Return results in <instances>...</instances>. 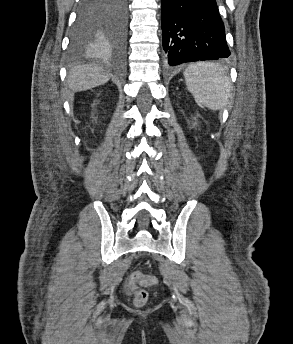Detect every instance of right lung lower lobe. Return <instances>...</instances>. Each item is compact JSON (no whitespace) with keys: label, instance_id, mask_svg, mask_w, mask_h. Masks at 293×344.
<instances>
[{"label":"right lung lower lobe","instance_id":"98d812e1","mask_svg":"<svg viewBox=\"0 0 293 344\" xmlns=\"http://www.w3.org/2000/svg\"><path fill=\"white\" fill-rule=\"evenodd\" d=\"M106 5H116L118 7L119 18L112 25H107L105 30L112 40V47L121 49L126 36L127 0H82L81 2L82 8L99 13L107 11ZM105 42L107 43V37L104 35L100 39V44Z\"/></svg>","mask_w":293,"mask_h":344}]
</instances>
